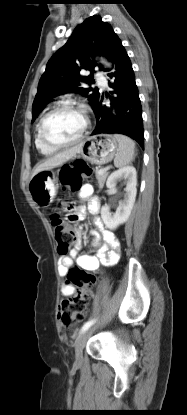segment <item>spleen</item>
Masks as SVG:
<instances>
[{"label": "spleen", "mask_w": 187, "mask_h": 415, "mask_svg": "<svg viewBox=\"0 0 187 415\" xmlns=\"http://www.w3.org/2000/svg\"><path fill=\"white\" fill-rule=\"evenodd\" d=\"M118 150L114 159L115 167L121 168L130 164L135 156V142L127 136L115 134Z\"/></svg>", "instance_id": "spleen-1"}]
</instances>
